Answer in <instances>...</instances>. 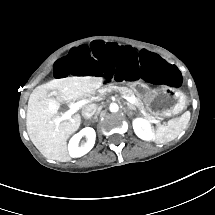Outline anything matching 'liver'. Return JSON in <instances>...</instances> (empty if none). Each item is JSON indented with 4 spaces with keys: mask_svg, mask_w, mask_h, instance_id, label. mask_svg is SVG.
Instances as JSON below:
<instances>
[{
    "mask_svg": "<svg viewBox=\"0 0 215 215\" xmlns=\"http://www.w3.org/2000/svg\"><path fill=\"white\" fill-rule=\"evenodd\" d=\"M102 83V78L73 76L53 79L36 87L30 94L26 117L27 133L35 147L47 158L69 162L67 139L81 124L80 114L55 125L53 119L60 108V101L77 100L93 94ZM49 90H56V99L48 97Z\"/></svg>",
    "mask_w": 215,
    "mask_h": 215,
    "instance_id": "obj_1",
    "label": "liver"
}]
</instances>
